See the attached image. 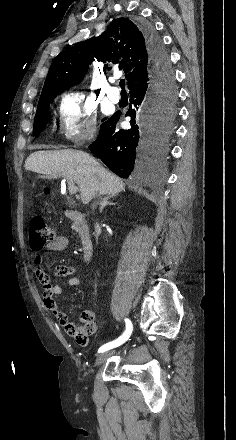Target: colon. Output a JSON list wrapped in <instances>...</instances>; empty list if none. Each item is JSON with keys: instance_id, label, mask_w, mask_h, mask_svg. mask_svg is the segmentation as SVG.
<instances>
[{"instance_id": "obj_1", "label": "colon", "mask_w": 236, "mask_h": 440, "mask_svg": "<svg viewBox=\"0 0 236 440\" xmlns=\"http://www.w3.org/2000/svg\"><path fill=\"white\" fill-rule=\"evenodd\" d=\"M29 244L33 250H41L55 238V229L40 215L31 216L28 222ZM65 329V328H64Z\"/></svg>"}]
</instances>
